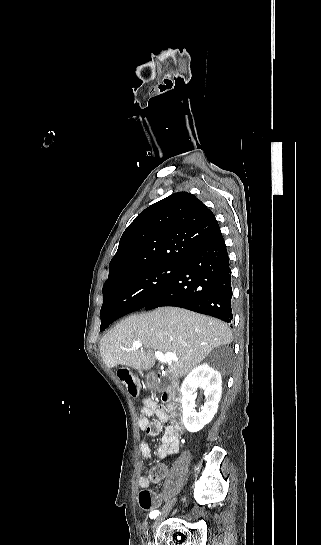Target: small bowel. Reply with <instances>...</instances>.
<instances>
[{
	"mask_svg": "<svg viewBox=\"0 0 321 545\" xmlns=\"http://www.w3.org/2000/svg\"><path fill=\"white\" fill-rule=\"evenodd\" d=\"M151 417H155V420L150 421ZM138 426L144 435L151 437L163 432L161 443L156 451L160 459L168 458L179 451L183 426L174 406L164 408L159 406L153 399L144 398L138 418ZM139 448L144 459L150 460L152 458L151 448L146 439H142ZM167 472L168 469L164 464L152 467L148 475L139 477L138 485L140 488L145 489L151 483H157L163 479Z\"/></svg>",
	"mask_w": 321,
	"mask_h": 545,
	"instance_id": "1",
	"label": "small bowel"
}]
</instances>
